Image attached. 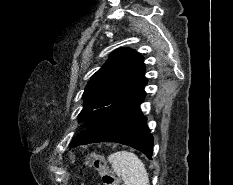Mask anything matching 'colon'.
Segmentation results:
<instances>
[{
  "mask_svg": "<svg viewBox=\"0 0 233 185\" xmlns=\"http://www.w3.org/2000/svg\"><path fill=\"white\" fill-rule=\"evenodd\" d=\"M88 161L91 162L99 172L100 185H118L117 179L112 174L108 167L107 161L102 154L91 153L88 156Z\"/></svg>",
  "mask_w": 233,
  "mask_h": 185,
  "instance_id": "colon-1",
  "label": "colon"
}]
</instances>
